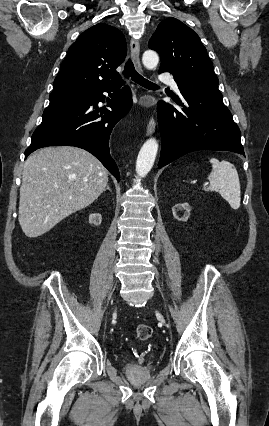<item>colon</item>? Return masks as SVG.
<instances>
[{
	"instance_id": "colon-1",
	"label": "colon",
	"mask_w": 269,
	"mask_h": 426,
	"mask_svg": "<svg viewBox=\"0 0 269 426\" xmlns=\"http://www.w3.org/2000/svg\"><path fill=\"white\" fill-rule=\"evenodd\" d=\"M135 333H136V338L139 341H146L151 337L152 329L150 326L146 324H139L136 327Z\"/></svg>"
}]
</instances>
